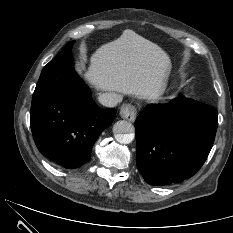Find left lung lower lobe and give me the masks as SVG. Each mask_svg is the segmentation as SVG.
Returning <instances> with one entry per match:
<instances>
[{"label": "left lung lower lobe", "instance_id": "1", "mask_svg": "<svg viewBox=\"0 0 233 233\" xmlns=\"http://www.w3.org/2000/svg\"><path fill=\"white\" fill-rule=\"evenodd\" d=\"M217 126L214 107L186 97L146 106L135 122L137 167L144 180L164 186L193 176L211 151Z\"/></svg>", "mask_w": 233, "mask_h": 233}]
</instances>
